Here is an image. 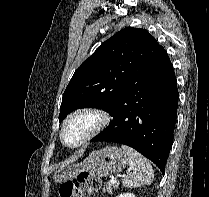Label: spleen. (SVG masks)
<instances>
[{"mask_svg": "<svg viewBox=\"0 0 209 197\" xmlns=\"http://www.w3.org/2000/svg\"><path fill=\"white\" fill-rule=\"evenodd\" d=\"M122 149L127 155V162L132 170L122 180L123 186L132 188L150 185L154 177L150 162L133 148L122 145Z\"/></svg>", "mask_w": 209, "mask_h": 197, "instance_id": "1", "label": "spleen"}]
</instances>
